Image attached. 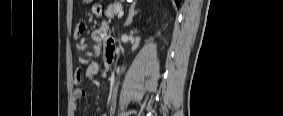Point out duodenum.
<instances>
[{
  "instance_id": "obj_1",
  "label": "duodenum",
  "mask_w": 283,
  "mask_h": 116,
  "mask_svg": "<svg viewBox=\"0 0 283 116\" xmlns=\"http://www.w3.org/2000/svg\"><path fill=\"white\" fill-rule=\"evenodd\" d=\"M113 58H108V61L111 62Z\"/></svg>"
}]
</instances>
